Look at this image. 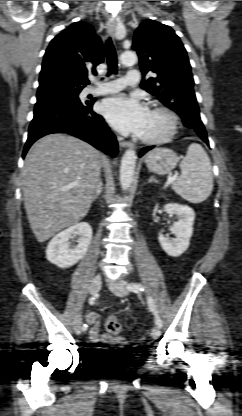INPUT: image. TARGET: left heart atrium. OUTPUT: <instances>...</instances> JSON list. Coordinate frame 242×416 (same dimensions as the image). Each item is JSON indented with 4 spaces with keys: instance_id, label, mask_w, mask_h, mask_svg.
<instances>
[{
    "instance_id": "obj_1",
    "label": "left heart atrium",
    "mask_w": 242,
    "mask_h": 416,
    "mask_svg": "<svg viewBox=\"0 0 242 416\" xmlns=\"http://www.w3.org/2000/svg\"><path fill=\"white\" fill-rule=\"evenodd\" d=\"M148 111L137 97L125 94L110 97L101 105V113L117 131L137 136L142 133Z\"/></svg>"
}]
</instances>
